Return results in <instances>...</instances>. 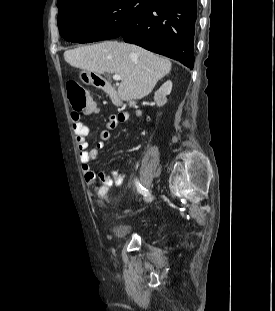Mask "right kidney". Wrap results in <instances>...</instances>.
Segmentation results:
<instances>
[{"label":"right kidney","instance_id":"1","mask_svg":"<svg viewBox=\"0 0 275 311\" xmlns=\"http://www.w3.org/2000/svg\"><path fill=\"white\" fill-rule=\"evenodd\" d=\"M172 90V82L170 80H167L162 86L157 87L155 89L153 98V103L157 104L159 108H162L164 105L168 103V100L166 99V96L170 94Z\"/></svg>","mask_w":275,"mask_h":311}]
</instances>
